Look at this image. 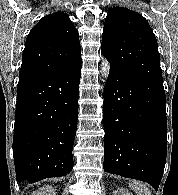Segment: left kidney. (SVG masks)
<instances>
[{"label":"left kidney","mask_w":178,"mask_h":195,"mask_svg":"<svg viewBox=\"0 0 178 195\" xmlns=\"http://www.w3.org/2000/svg\"><path fill=\"white\" fill-rule=\"evenodd\" d=\"M113 195H133V194L125 188H118L113 192Z\"/></svg>","instance_id":"5707ae66"}]
</instances>
